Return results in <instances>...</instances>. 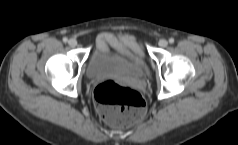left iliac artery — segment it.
Segmentation results:
<instances>
[{
	"instance_id": "obj_1",
	"label": "left iliac artery",
	"mask_w": 238,
	"mask_h": 145,
	"mask_svg": "<svg viewBox=\"0 0 238 145\" xmlns=\"http://www.w3.org/2000/svg\"><path fill=\"white\" fill-rule=\"evenodd\" d=\"M174 41H175V40H174V38H172V37L169 39V43H170V44H173Z\"/></svg>"
}]
</instances>
